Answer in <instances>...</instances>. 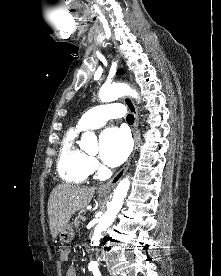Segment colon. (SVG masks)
<instances>
[{
  "label": "colon",
  "mask_w": 221,
  "mask_h": 276,
  "mask_svg": "<svg viewBox=\"0 0 221 276\" xmlns=\"http://www.w3.org/2000/svg\"><path fill=\"white\" fill-rule=\"evenodd\" d=\"M54 251H60L62 254L64 251H67V244H54Z\"/></svg>",
  "instance_id": "5ec220e1"
}]
</instances>
